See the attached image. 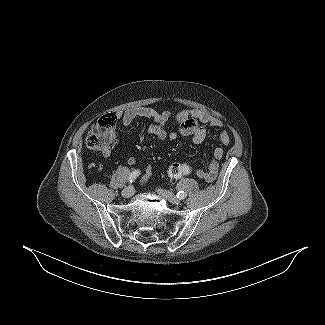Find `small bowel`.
Listing matches in <instances>:
<instances>
[{
    "label": "small bowel",
    "instance_id": "obj_1",
    "mask_svg": "<svg viewBox=\"0 0 325 325\" xmlns=\"http://www.w3.org/2000/svg\"><path fill=\"white\" fill-rule=\"evenodd\" d=\"M117 117L121 121V125L124 127L129 126L132 122L137 118H147L152 119L153 124L149 127L148 133L156 136L160 140H164L169 138L170 140H175L178 134L183 136H188L195 144L202 143L206 136L207 130L204 126L205 124L210 125L212 127H221L222 123L210 117L207 113L197 110V109H183L178 112L176 118L179 124L178 134L171 133L168 134L165 126L170 118V114L168 111L158 112L151 107H133L127 109L123 113H118ZM220 140L223 144L228 145L231 141V136L227 131H223L220 135ZM103 156L105 158H109L111 156V151L109 148L102 151ZM224 150L222 147H216L213 152V158L208 164V168L206 170L202 169H192L194 174L204 180V181H212L218 172L219 160L223 157ZM137 162L135 157H130L128 159L129 164H135ZM151 175V167L147 166L145 170V174L142 178V183H145Z\"/></svg>",
    "mask_w": 325,
    "mask_h": 325
}]
</instances>
